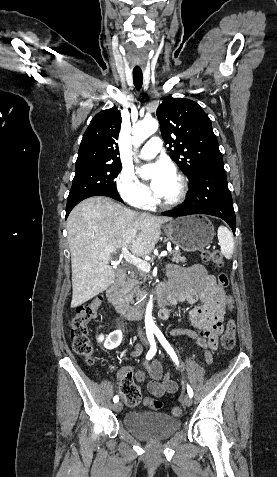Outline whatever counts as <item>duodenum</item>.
<instances>
[{
    "instance_id": "duodenum-1",
    "label": "duodenum",
    "mask_w": 277,
    "mask_h": 477,
    "mask_svg": "<svg viewBox=\"0 0 277 477\" xmlns=\"http://www.w3.org/2000/svg\"><path fill=\"white\" fill-rule=\"evenodd\" d=\"M126 280L125 270L119 269L115 282L107 290V298L115 308L116 312L126 320H139L143 317V311L139 308L129 306L123 296V287ZM177 301L174 294L162 292L157 298V304L162 313L167 312V307Z\"/></svg>"
}]
</instances>
